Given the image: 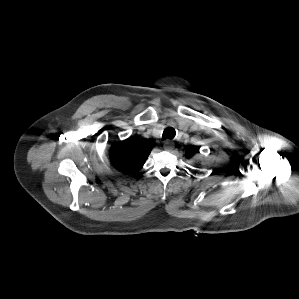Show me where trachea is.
Returning <instances> with one entry per match:
<instances>
[{"instance_id":"trachea-1","label":"trachea","mask_w":299,"mask_h":299,"mask_svg":"<svg viewBox=\"0 0 299 299\" xmlns=\"http://www.w3.org/2000/svg\"><path fill=\"white\" fill-rule=\"evenodd\" d=\"M176 135L175 129L172 127H168L164 130L163 135H162V139L166 140V139H173Z\"/></svg>"}]
</instances>
